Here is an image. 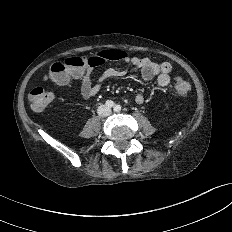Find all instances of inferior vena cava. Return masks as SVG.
Listing matches in <instances>:
<instances>
[{
	"mask_svg": "<svg viewBox=\"0 0 232 232\" xmlns=\"http://www.w3.org/2000/svg\"><path fill=\"white\" fill-rule=\"evenodd\" d=\"M97 113L98 115L105 117L111 114V109L105 105H101L98 107Z\"/></svg>",
	"mask_w": 232,
	"mask_h": 232,
	"instance_id": "1",
	"label": "inferior vena cava"
}]
</instances>
